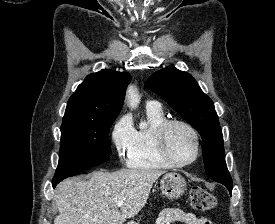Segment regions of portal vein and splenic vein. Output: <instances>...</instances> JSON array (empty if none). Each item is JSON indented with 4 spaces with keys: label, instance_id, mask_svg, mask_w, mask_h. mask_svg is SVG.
<instances>
[{
    "label": "portal vein and splenic vein",
    "instance_id": "portal-vein-and-splenic-vein-1",
    "mask_svg": "<svg viewBox=\"0 0 275 224\" xmlns=\"http://www.w3.org/2000/svg\"><path fill=\"white\" fill-rule=\"evenodd\" d=\"M123 204H124V201H123V200H119V201L117 202V206H118V207L123 206Z\"/></svg>",
    "mask_w": 275,
    "mask_h": 224
}]
</instances>
